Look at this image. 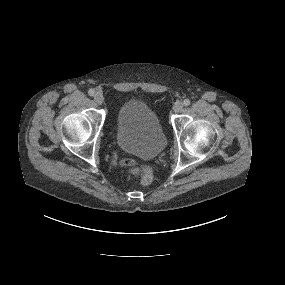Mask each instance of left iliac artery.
<instances>
[{
	"instance_id": "obj_1",
	"label": "left iliac artery",
	"mask_w": 285,
	"mask_h": 285,
	"mask_svg": "<svg viewBox=\"0 0 285 285\" xmlns=\"http://www.w3.org/2000/svg\"><path fill=\"white\" fill-rule=\"evenodd\" d=\"M190 103H191V101H190L189 99H185V100L183 101V105H184V106H189Z\"/></svg>"
}]
</instances>
